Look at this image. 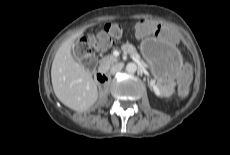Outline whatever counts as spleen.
Returning <instances> with one entry per match:
<instances>
[{"label":"spleen","mask_w":230,"mask_h":155,"mask_svg":"<svg viewBox=\"0 0 230 155\" xmlns=\"http://www.w3.org/2000/svg\"><path fill=\"white\" fill-rule=\"evenodd\" d=\"M188 93H189V90L188 89H186V90H184L183 92H182V94H181V99H183L184 97H186L187 95H188Z\"/></svg>","instance_id":"3e777b00"}]
</instances>
